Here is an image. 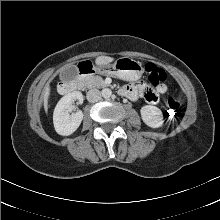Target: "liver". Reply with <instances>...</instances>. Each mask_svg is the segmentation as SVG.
Instances as JSON below:
<instances>
[{
    "mask_svg": "<svg viewBox=\"0 0 220 220\" xmlns=\"http://www.w3.org/2000/svg\"><path fill=\"white\" fill-rule=\"evenodd\" d=\"M114 60L113 57L109 56H98L95 60L96 65H107L110 64ZM50 95V87L46 86L43 94V105H44V110L47 113L48 111V98Z\"/></svg>",
    "mask_w": 220,
    "mask_h": 220,
    "instance_id": "liver-1",
    "label": "liver"
}]
</instances>
